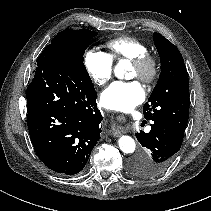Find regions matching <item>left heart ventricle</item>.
<instances>
[{
	"mask_svg": "<svg viewBox=\"0 0 211 211\" xmlns=\"http://www.w3.org/2000/svg\"><path fill=\"white\" fill-rule=\"evenodd\" d=\"M132 76H137V70L134 66H132Z\"/></svg>",
	"mask_w": 211,
	"mask_h": 211,
	"instance_id": "1",
	"label": "left heart ventricle"
}]
</instances>
